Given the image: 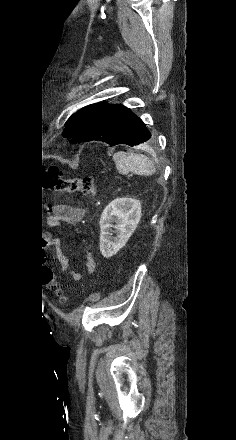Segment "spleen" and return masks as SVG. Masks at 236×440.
I'll list each match as a JSON object with an SVG mask.
<instances>
[{
  "mask_svg": "<svg viewBox=\"0 0 236 440\" xmlns=\"http://www.w3.org/2000/svg\"><path fill=\"white\" fill-rule=\"evenodd\" d=\"M113 159L121 174L132 172L137 175L149 176L156 171L153 162L142 154L119 151L113 155Z\"/></svg>",
  "mask_w": 236,
  "mask_h": 440,
  "instance_id": "spleen-1",
  "label": "spleen"
}]
</instances>
